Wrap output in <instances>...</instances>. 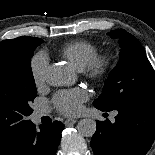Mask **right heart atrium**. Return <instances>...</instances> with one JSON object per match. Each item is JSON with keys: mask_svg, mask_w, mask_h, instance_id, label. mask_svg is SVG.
<instances>
[{"mask_svg": "<svg viewBox=\"0 0 155 155\" xmlns=\"http://www.w3.org/2000/svg\"><path fill=\"white\" fill-rule=\"evenodd\" d=\"M48 67V57L45 53H37L31 60L30 70L33 81L36 85H41L45 81Z\"/></svg>", "mask_w": 155, "mask_h": 155, "instance_id": "d8ad5b80", "label": "right heart atrium"}]
</instances>
